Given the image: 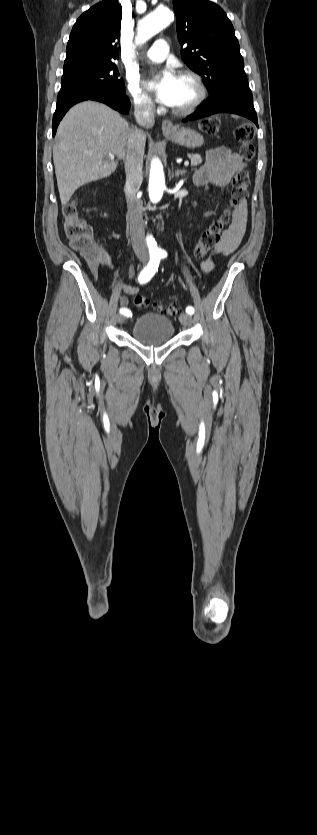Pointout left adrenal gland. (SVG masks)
<instances>
[{
    "instance_id": "obj_1",
    "label": "left adrenal gland",
    "mask_w": 317,
    "mask_h": 835,
    "mask_svg": "<svg viewBox=\"0 0 317 835\" xmlns=\"http://www.w3.org/2000/svg\"><path fill=\"white\" fill-rule=\"evenodd\" d=\"M185 173H186V170H176L175 171V176L179 177L180 175H184Z\"/></svg>"
}]
</instances>
